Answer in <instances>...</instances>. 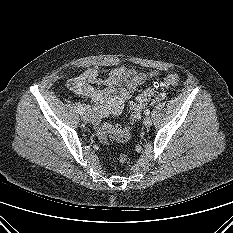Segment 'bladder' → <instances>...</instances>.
<instances>
[{
  "mask_svg": "<svg viewBox=\"0 0 233 233\" xmlns=\"http://www.w3.org/2000/svg\"><path fill=\"white\" fill-rule=\"evenodd\" d=\"M101 118V114L98 111L94 112V120L98 121Z\"/></svg>",
  "mask_w": 233,
  "mask_h": 233,
  "instance_id": "obj_1",
  "label": "bladder"
}]
</instances>
